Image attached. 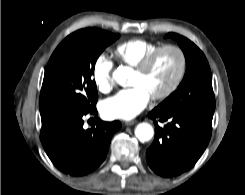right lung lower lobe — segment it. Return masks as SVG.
<instances>
[{
	"label": "right lung lower lobe",
	"instance_id": "obj_1",
	"mask_svg": "<svg viewBox=\"0 0 245 195\" xmlns=\"http://www.w3.org/2000/svg\"><path fill=\"white\" fill-rule=\"evenodd\" d=\"M97 115L91 110L42 121L40 139L53 164L63 173L82 176L94 171L104 161L119 121L97 120L90 129L83 128V116Z\"/></svg>",
	"mask_w": 245,
	"mask_h": 195
}]
</instances>
